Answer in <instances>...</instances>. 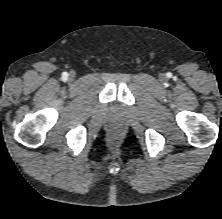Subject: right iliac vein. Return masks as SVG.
<instances>
[{"label":"right iliac vein","instance_id":"63e3f726","mask_svg":"<svg viewBox=\"0 0 222 219\" xmlns=\"http://www.w3.org/2000/svg\"><path fill=\"white\" fill-rule=\"evenodd\" d=\"M73 78H74V76H73V75H71V76H70V79L72 80Z\"/></svg>","mask_w":222,"mask_h":219}]
</instances>
